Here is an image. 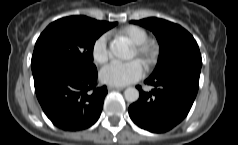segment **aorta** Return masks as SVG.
Returning <instances> with one entry per match:
<instances>
[{
  "mask_svg": "<svg viewBox=\"0 0 238 145\" xmlns=\"http://www.w3.org/2000/svg\"><path fill=\"white\" fill-rule=\"evenodd\" d=\"M111 52L115 57L122 60H129L134 56L128 44L120 39H116L111 43ZM124 97L127 102H136L139 99V91L134 87H129L124 91Z\"/></svg>",
  "mask_w": 238,
  "mask_h": 145,
  "instance_id": "762f6f07",
  "label": "aorta"
}]
</instances>
